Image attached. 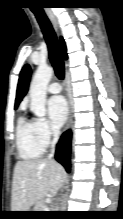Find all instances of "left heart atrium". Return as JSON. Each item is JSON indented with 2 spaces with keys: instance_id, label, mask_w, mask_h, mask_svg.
<instances>
[{
  "instance_id": "left-heart-atrium-1",
  "label": "left heart atrium",
  "mask_w": 123,
  "mask_h": 219,
  "mask_svg": "<svg viewBox=\"0 0 123 219\" xmlns=\"http://www.w3.org/2000/svg\"><path fill=\"white\" fill-rule=\"evenodd\" d=\"M49 117L55 127L63 125L67 118L68 107L62 96H54L48 100Z\"/></svg>"
}]
</instances>
